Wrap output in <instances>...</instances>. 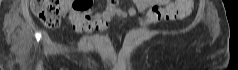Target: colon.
<instances>
[{"label": "colon", "mask_w": 238, "mask_h": 70, "mask_svg": "<svg viewBox=\"0 0 238 70\" xmlns=\"http://www.w3.org/2000/svg\"><path fill=\"white\" fill-rule=\"evenodd\" d=\"M77 1L78 0L74 1L76 5ZM110 2L116 1L111 0ZM175 2L177 4L172 6L169 11L166 12V15L173 16L174 19H182L191 13L193 7L192 0H175ZM31 9L33 13L50 28L57 27L66 13L63 1L61 0H31Z\"/></svg>", "instance_id": "5ec220e1"}]
</instances>
